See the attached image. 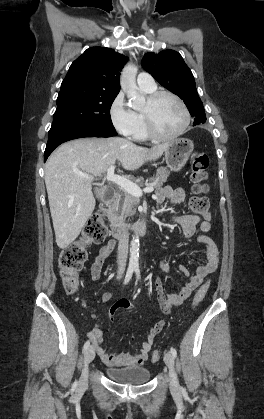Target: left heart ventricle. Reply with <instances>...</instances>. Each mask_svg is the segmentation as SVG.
I'll return each instance as SVG.
<instances>
[{
	"label": "left heart ventricle",
	"mask_w": 264,
	"mask_h": 419,
	"mask_svg": "<svg viewBox=\"0 0 264 419\" xmlns=\"http://www.w3.org/2000/svg\"><path fill=\"white\" fill-rule=\"evenodd\" d=\"M153 115L160 133L172 135L180 130L184 115L179 104L170 96L161 97L153 107Z\"/></svg>",
	"instance_id": "b2bd125f"
}]
</instances>
